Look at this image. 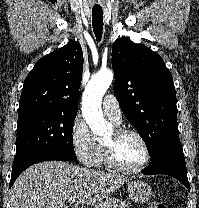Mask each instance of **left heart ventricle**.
Returning <instances> with one entry per match:
<instances>
[{
	"label": "left heart ventricle",
	"mask_w": 199,
	"mask_h": 208,
	"mask_svg": "<svg viewBox=\"0 0 199 208\" xmlns=\"http://www.w3.org/2000/svg\"><path fill=\"white\" fill-rule=\"evenodd\" d=\"M114 139V131L108 135L104 142ZM115 153L121 164L128 168L138 166L145 158L144 147L133 135H124L115 141Z\"/></svg>",
	"instance_id": "b2bd125f"
}]
</instances>
